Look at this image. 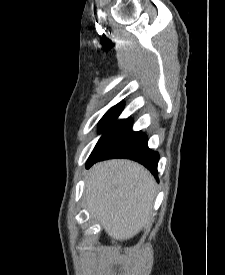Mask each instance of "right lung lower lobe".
Segmentation results:
<instances>
[{
    "instance_id": "1",
    "label": "right lung lower lobe",
    "mask_w": 225,
    "mask_h": 275,
    "mask_svg": "<svg viewBox=\"0 0 225 275\" xmlns=\"http://www.w3.org/2000/svg\"><path fill=\"white\" fill-rule=\"evenodd\" d=\"M111 158H127L143 164L157 177L159 155L148 148L147 137L132 131V120L126 119L114 128L95 148L88 159L89 168L97 161Z\"/></svg>"
}]
</instances>
